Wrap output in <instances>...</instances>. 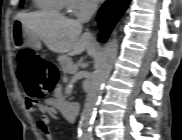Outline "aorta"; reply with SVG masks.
Segmentation results:
<instances>
[{
  "mask_svg": "<svg viewBox=\"0 0 182 140\" xmlns=\"http://www.w3.org/2000/svg\"><path fill=\"white\" fill-rule=\"evenodd\" d=\"M118 52V40L109 41L104 47L96 71L92 76L87 98L79 123V133L82 140H90L92 137L91 124L94 117L96 105L99 102L102 88L113 68Z\"/></svg>",
  "mask_w": 182,
  "mask_h": 140,
  "instance_id": "762f6f07",
  "label": "aorta"
}]
</instances>
